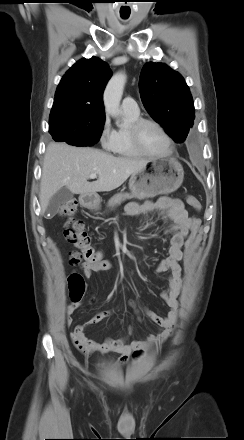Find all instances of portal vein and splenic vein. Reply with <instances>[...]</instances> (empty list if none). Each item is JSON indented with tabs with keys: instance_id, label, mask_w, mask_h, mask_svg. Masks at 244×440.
<instances>
[{
	"instance_id": "1",
	"label": "portal vein and splenic vein",
	"mask_w": 244,
	"mask_h": 440,
	"mask_svg": "<svg viewBox=\"0 0 244 440\" xmlns=\"http://www.w3.org/2000/svg\"><path fill=\"white\" fill-rule=\"evenodd\" d=\"M88 178H89V179H96V178H97V175H96V174H91V175H89Z\"/></svg>"
}]
</instances>
